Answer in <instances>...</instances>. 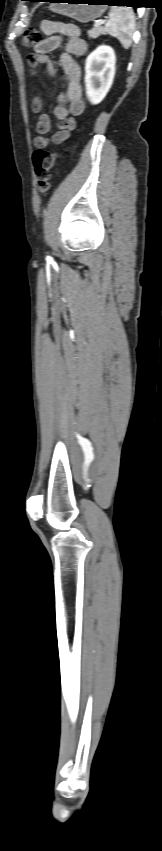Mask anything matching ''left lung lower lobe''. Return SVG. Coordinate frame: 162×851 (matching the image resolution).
<instances>
[{"label":"left lung lower lobe","instance_id":"1","mask_svg":"<svg viewBox=\"0 0 162 851\" xmlns=\"http://www.w3.org/2000/svg\"><path fill=\"white\" fill-rule=\"evenodd\" d=\"M36 1H42V0H36ZM51 1L52 0H50V2ZM105 1L108 5H125V6H129V4H134V3L137 2L135 0H105Z\"/></svg>","mask_w":162,"mask_h":851}]
</instances>
